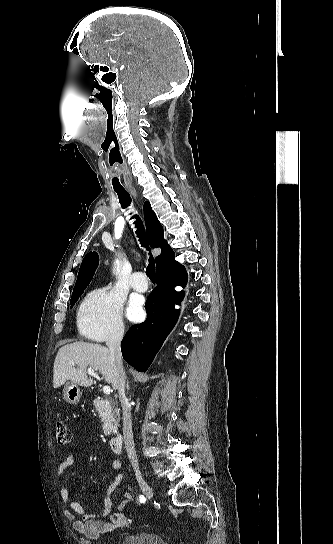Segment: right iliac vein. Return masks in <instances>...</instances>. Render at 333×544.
I'll return each mask as SVG.
<instances>
[{
  "mask_svg": "<svg viewBox=\"0 0 333 544\" xmlns=\"http://www.w3.org/2000/svg\"><path fill=\"white\" fill-rule=\"evenodd\" d=\"M136 478L137 481L142 489V491L145 493L148 499H151L153 497V490L152 488L146 483V481L143 479L141 473L139 471H136Z\"/></svg>",
  "mask_w": 333,
  "mask_h": 544,
  "instance_id": "right-iliac-vein-1",
  "label": "right iliac vein"
}]
</instances>
